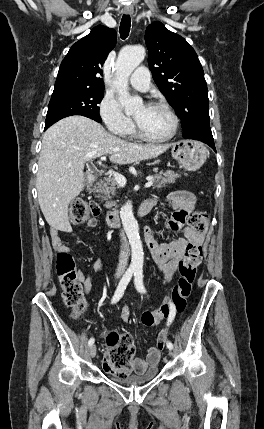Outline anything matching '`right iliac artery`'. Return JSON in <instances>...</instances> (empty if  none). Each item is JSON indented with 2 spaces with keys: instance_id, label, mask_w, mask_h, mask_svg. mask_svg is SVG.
Wrapping results in <instances>:
<instances>
[{
  "instance_id": "obj_1",
  "label": "right iliac artery",
  "mask_w": 264,
  "mask_h": 429,
  "mask_svg": "<svg viewBox=\"0 0 264 429\" xmlns=\"http://www.w3.org/2000/svg\"><path fill=\"white\" fill-rule=\"evenodd\" d=\"M134 272H135L134 268H129L125 272V274L121 278V280H120V282L118 284V287H117V289H116V291L114 293V296H113V298L111 300L112 304L117 303L120 300V298L123 296L124 291H125L128 283L130 282V279L133 276ZM93 343H94V338L92 337V338L89 339L88 345L91 346V345H93Z\"/></svg>"
}]
</instances>
